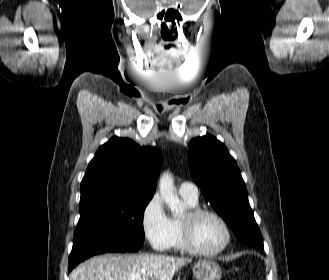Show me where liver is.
Here are the masks:
<instances>
[{"instance_id":"obj_1","label":"liver","mask_w":329,"mask_h":280,"mask_svg":"<svg viewBox=\"0 0 329 280\" xmlns=\"http://www.w3.org/2000/svg\"><path fill=\"white\" fill-rule=\"evenodd\" d=\"M189 258L165 255H114L93 257L70 274V280H172Z\"/></svg>"}]
</instances>
